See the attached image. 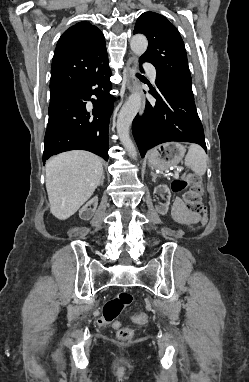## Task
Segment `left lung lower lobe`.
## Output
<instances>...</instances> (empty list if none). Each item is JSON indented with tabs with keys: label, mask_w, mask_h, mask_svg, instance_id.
<instances>
[{
	"label": "left lung lower lobe",
	"mask_w": 249,
	"mask_h": 382,
	"mask_svg": "<svg viewBox=\"0 0 249 382\" xmlns=\"http://www.w3.org/2000/svg\"><path fill=\"white\" fill-rule=\"evenodd\" d=\"M156 85V89L150 87L156 102L152 104L146 101L143 115L136 116L132 123L133 136L141 157L148 149L170 141L196 143L207 151L194 98L162 83Z\"/></svg>",
	"instance_id": "left-lung-lower-lobe-1"
}]
</instances>
